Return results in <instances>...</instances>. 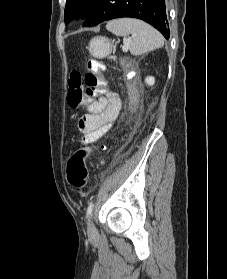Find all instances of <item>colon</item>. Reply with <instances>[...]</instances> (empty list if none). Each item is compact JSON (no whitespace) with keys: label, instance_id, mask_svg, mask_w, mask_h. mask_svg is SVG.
<instances>
[{"label":"colon","instance_id":"1","mask_svg":"<svg viewBox=\"0 0 227 279\" xmlns=\"http://www.w3.org/2000/svg\"><path fill=\"white\" fill-rule=\"evenodd\" d=\"M87 67L88 71L84 76L78 71H73L70 74L68 81L70 92L67 96V102L72 108H76L102 93L105 79L100 62L92 58L88 61ZM87 154L88 151L84 149L78 150L68 161L67 179L70 185L78 190L84 189L88 182Z\"/></svg>","mask_w":227,"mask_h":279}]
</instances>
